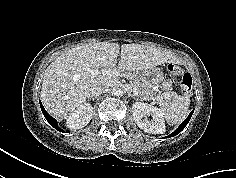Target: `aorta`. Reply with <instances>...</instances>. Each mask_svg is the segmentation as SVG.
<instances>
[{"instance_id":"aorta-1","label":"aorta","mask_w":236,"mask_h":178,"mask_svg":"<svg viewBox=\"0 0 236 178\" xmlns=\"http://www.w3.org/2000/svg\"><path fill=\"white\" fill-rule=\"evenodd\" d=\"M111 92H112V95H113V96H116V97H120V96H122L123 93H124L123 89L120 88L119 86L113 87V89H112Z\"/></svg>"}]
</instances>
